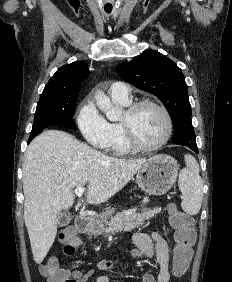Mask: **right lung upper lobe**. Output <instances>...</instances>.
Returning <instances> with one entry per match:
<instances>
[{
  "label": "right lung upper lobe",
  "instance_id": "1",
  "mask_svg": "<svg viewBox=\"0 0 232 282\" xmlns=\"http://www.w3.org/2000/svg\"><path fill=\"white\" fill-rule=\"evenodd\" d=\"M89 75L84 61L62 66L45 86L41 96H67L78 94L81 82Z\"/></svg>",
  "mask_w": 232,
  "mask_h": 282
}]
</instances>
